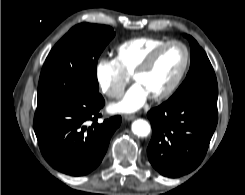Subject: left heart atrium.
Wrapping results in <instances>:
<instances>
[{
    "instance_id": "1",
    "label": "left heart atrium",
    "mask_w": 245,
    "mask_h": 195,
    "mask_svg": "<svg viewBox=\"0 0 245 195\" xmlns=\"http://www.w3.org/2000/svg\"><path fill=\"white\" fill-rule=\"evenodd\" d=\"M149 97L147 91L138 83L134 84L118 103L112 104L109 109L112 112L130 113L143 106Z\"/></svg>"
}]
</instances>
